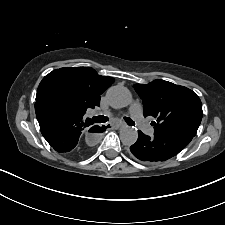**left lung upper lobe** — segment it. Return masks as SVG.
<instances>
[{
  "label": "left lung upper lobe",
  "instance_id": "5c2ea615",
  "mask_svg": "<svg viewBox=\"0 0 225 225\" xmlns=\"http://www.w3.org/2000/svg\"><path fill=\"white\" fill-rule=\"evenodd\" d=\"M134 89L143 100L144 116L156 118L154 134L196 135L203 111L192 90L164 80L135 84Z\"/></svg>",
  "mask_w": 225,
  "mask_h": 225
}]
</instances>
